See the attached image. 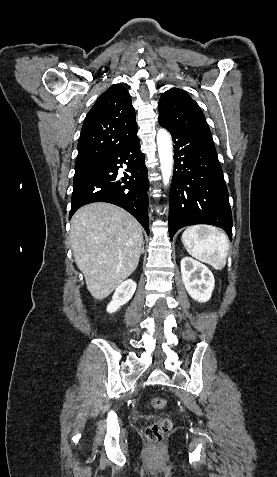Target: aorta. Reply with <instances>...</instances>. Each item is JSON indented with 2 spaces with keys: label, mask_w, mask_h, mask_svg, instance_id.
<instances>
[{
  "label": "aorta",
  "mask_w": 277,
  "mask_h": 477,
  "mask_svg": "<svg viewBox=\"0 0 277 477\" xmlns=\"http://www.w3.org/2000/svg\"><path fill=\"white\" fill-rule=\"evenodd\" d=\"M157 146L160 159V167L165 185L169 184L173 169L172 142L169 133L161 128L157 133Z\"/></svg>",
  "instance_id": "obj_1"
}]
</instances>
